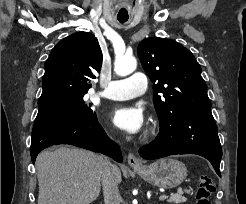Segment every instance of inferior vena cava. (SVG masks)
<instances>
[{"label": "inferior vena cava", "mask_w": 246, "mask_h": 204, "mask_svg": "<svg viewBox=\"0 0 246 204\" xmlns=\"http://www.w3.org/2000/svg\"><path fill=\"white\" fill-rule=\"evenodd\" d=\"M102 165L101 182L103 187L104 204H120L121 196L115 177L117 167L104 158Z\"/></svg>", "instance_id": "1"}]
</instances>
